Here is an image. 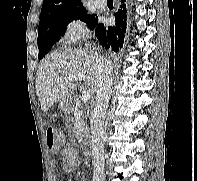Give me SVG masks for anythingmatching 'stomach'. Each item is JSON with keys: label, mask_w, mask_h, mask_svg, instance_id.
<instances>
[{"label": "stomach", "mask_w": 197, "mask_h": 181, "mask_svg": "<svg viewBox=\"0 0 197 181\" xmlns=\"http://www.w3.org/2000/svg\"><path fill=\"white\" fill-rule=\"evenodd\" d=\"M60 110L65 111L70 107V98H66L60 102Z\"/></svg>", "instance_id": "1"}]
</instances>
